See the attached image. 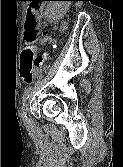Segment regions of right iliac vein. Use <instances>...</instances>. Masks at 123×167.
<instances>
[{"instance_id":"63e3f726","label":"right iliac vein","mask_w":123,"mask_h":167,"mask_svg":"<svg viewBox=\"0 0 123 167\" xmlns=\"http://www.w3.org/2000/svg\"><path fill=\"white\" fill-rule=\"evenodd\" d=\"M27 109H28V102L26 101V103L24 104L23 109H22L23 114H26Z\"/></svg>"}]
</instances>
